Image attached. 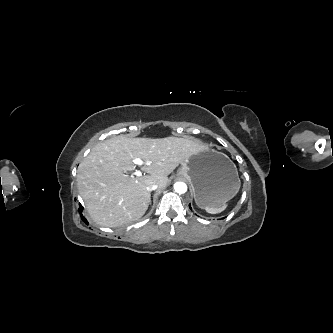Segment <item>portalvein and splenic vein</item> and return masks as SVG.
I'll return each mask as SVG.
<instances>
[{
	"instance_id": "portal-vein-and-splenic-vein-1",
	"label": "portal vein and splenic vein",
	"mask_w": 333,
	"mask_h": 333,
	"mask_svg": "<svg viewBox=\"0 0 333 333\" xmlns=\"http://www.w3.org/2000/svg\"><path fill=\"white\" fill-rule=\"evenodd\" d=\"M133 163L136 164V165H139V166H142V165H149L150 163H145L142 159L140 158H135L133 160ZM133 175L135 176H142V172L140 170H136Z\"/></svg>"
}]
</instances>
